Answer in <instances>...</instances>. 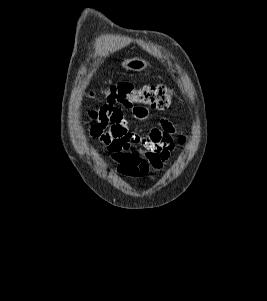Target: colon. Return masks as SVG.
Masks as SVG:
<instances>
[{"label":"colon","instance_id":"5ec220e1","mask_svg":"<svg viewBox=\"0 0 267 301\" xmlns=\"http://www.w3.org/2000/svg\"><path fill=\"white\" fill-rule=\"evenodd\" d=\"M108 102L131 106L144 104L151 108L164 110L172 101V91L164 85H145L135 87L132 83L123 82L102 89L101 91Z\"/></svg>","mask_w":267,"mask_h":301}]
</instances>
